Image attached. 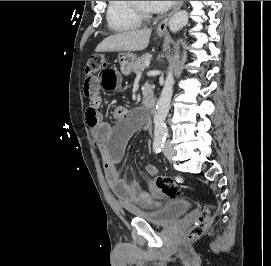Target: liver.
I'll use <instances>...</instances> for the list:
<instances>
[{
	"instance_id": "obj_1",
	"label": "liver",
	"mask_w": 271,
	"mask_h": 266,
	"mask_svg": "<svg viewBox=\"0 0 271 266\" xmlns=\"http://www.w3.org/2000/svg\"><path fill=\"white\" fill-rule=\"evenodd\" d=\"M152 30H130L117 33L105 38L95 49L96 52L115 51H141L144 50L150 40Z\"/></svg>"
}]
</instances>
